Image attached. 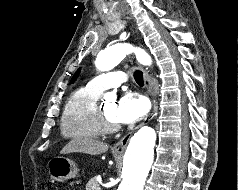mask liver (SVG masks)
Masks as SVG:
<instances>
[{
	"label": "liver",
	"instance_id": "6515ba94",
	"mask_svg": "<svg viewBox=\"0 0 238 190\" xmlns=\"http://www.w3.org/2000/svg\"><path fill=\"white\" fill-rule=\"evenodd\" d=\"M108 148L109 146L101 141L87 138H74L62 148L60 154L80 152L89 155H99L105 153Z\"/></svg>",
	"mask_w": 238,
	"mask_h": 190
}]
</instances>
